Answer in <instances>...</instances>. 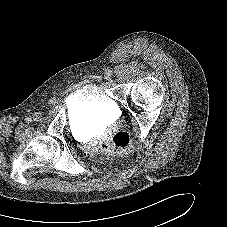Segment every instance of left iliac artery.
I'll list each match as a JSON object with an SVG mask.
<instances>
[{"mask_svg": "<svg viewBox=\"0 0 227 227\" xmlns=\"http://www.w3.org/2000/svg\"><path fill=\"white\" fill-rule=\"evenodd\" d=\"M106 75H107V76H111V75H112V71L108 69V70L106 71Z\"/></svg>", "mask_w": 227, "mask_h": 227, "instance_id": "left-iliac-artery-1", "label": "left iliac artery"}]
</instances>
